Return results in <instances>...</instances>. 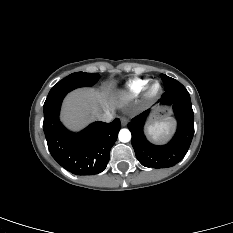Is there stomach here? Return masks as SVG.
Returning a JSON list of instances; mask_svg holds the SVG:
<instances>
[{
	"label": "stomach",
	"mask_w": 233,
	"mask_h": 233,
	"mask_svg": "<svg viewBox=\"0 0 233 233\" xmlns=\"http://www.w3.org/2000/svg\"><path fill=\"white\" fill-rule=\"evenodd\" d=\"M166 119H168L167 115L163 116L160 113L156 112L155 114H153L151 122L156 123V122H160V121H163V120H166Z\"/></svg>",
	"instance_id": "1"
}]
</instances>
